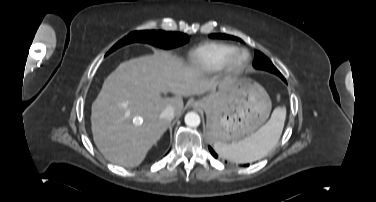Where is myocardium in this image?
I'll return each mask as SVG.
<instances>
[{
	"mask_svg": "<svg viewBox=\"0 0 376 202\" xmlns=\"http://www.w3.org/2000/svg\"><path fill=\"white\" fill-rule=\"evenodd\" d=\"M249 58L246 50L237 48L226 58L223 64L224 72L230 76L238 75L246 68Z\"/></svg>",
	"mask_w": 376,
	"mask_h": 202,
	"instance_id": "obj_1",
	"label": "myocardium"
}]
</instances>
